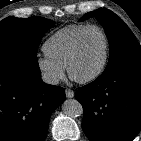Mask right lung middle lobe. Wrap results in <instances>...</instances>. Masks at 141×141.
I'll return each instance as SVG.
<instances>
[{"label": "right lung middle lobe", "instance_id": "1", "mask_svg": "<svg viewBox=\"0 0 141 141\" xmlns=\"http://www.w3.org/2000/svg\"><path fill=\"white\" fill-rule=\"evenodd\" d=\"M54 26L42 17H7L0 22V61L24 58L37 61L41 38Z\"/></svg>", "mask_w": 141, "mask_h": 141}]
</instances>
